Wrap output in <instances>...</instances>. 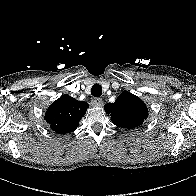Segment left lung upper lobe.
I'll return each instance as SVG.
<instances>
[{
  "mask_svg": "<svg viewBox=\"0 0 196 196\" xmlns=\"http://www.w3.org/2000/svg\"><path fill=\"white\" fill-rule=\"evenodd\" d=\"M112 123L120 128L133 129L143 124L148 116L145 103L130 92L121 93L114 103L105 104Z\"/></svg>",
  "mask_w": 196,
  "mask_h": 196,
  "instance_id": "left-lung-upper-lobe-1",
  "label": "left lung upper lobe"
}]
</instances>
